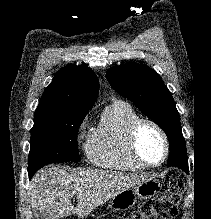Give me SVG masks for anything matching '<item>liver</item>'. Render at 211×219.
I'll return each instance as SVG.
<instances>
[{"mask_svg":"<svg viewBox=\"0 0 211 219\" xmlns=\"http://www.w3.org/2000/svg\"><path fill=\"white\" fill-rule=\"evenodd\" d=\"M148 178L146 174L104 170L69 172L61 166H49L39 170L32 179L31 207L36 219L41 212L48 219L72 214L84 218L118 193ZM73 196L78 199L76 207L71 204Z\"/></svg>","mask_w":211,"mask_h":219,"instance_id":"obj_1","label":"liver"}]
</instances>
